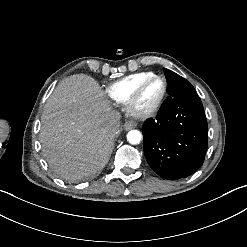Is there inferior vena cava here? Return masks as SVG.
<instances>
[{
	"mask_svg": "<svg viewBox=\"0 0 247 247\" xmlns=\"http://www.w3.org/2000/svg\"><path fill=\"white\" fill-rule=\"evenodd\" d=\"M112 121L114 123V125L112 127V132L114 133V136H118L121 132L122 123L118 122L115 119H113Z\"/></svg>",
	"mask_w": 247,
	"mask_h": 247,
	"instance_id": "obj_1",
	"label": "inferior vena cava"
}]
</instances>
